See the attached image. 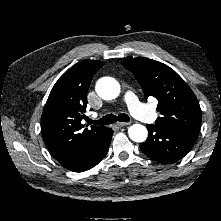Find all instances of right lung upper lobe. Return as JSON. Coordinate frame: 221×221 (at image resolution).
<instances>
[{
    "instance_id": "cb5924a9",
    "label": "right lung upper lobe",
    "mask_w": 221,
    "mask_h": 221,
    "mask_svg": "<svg viewBox=\"0 0 221 221\" xmlns=\"http://www.w3.org/2000/svg\"><path fill=\"white\" fill-rule=\"evenodd\" d=\"M102 61L82 60L63 74L52 88L41 116L43 139L63 163L94 144L105 126L84 128L81 123L87 105V91Z\"/></svg>"
}]
</instances>
